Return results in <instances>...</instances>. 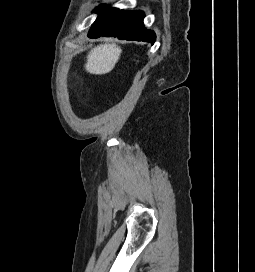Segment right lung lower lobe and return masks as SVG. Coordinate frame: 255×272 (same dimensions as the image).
Segmentation results:
<instances>
[{"instance_id":"98d812e1","label":"right lung lower lobe","mask_w":255,"mask_h":272,"mask_svg":"<svg viewBox=\"0 0 255 272\" xmlns=\"http://www.w3.org/2000/svg\"><path fill=\"white\" fill-rule=\"evenodd\" d=\"M95 12H99V16L88 33L90 38L113 36L125 40L155 42L154 32L144 27L143 12L108 8L104 4L97 7Z\"/></svg>"}]
</instances>
